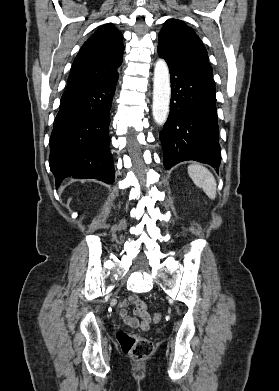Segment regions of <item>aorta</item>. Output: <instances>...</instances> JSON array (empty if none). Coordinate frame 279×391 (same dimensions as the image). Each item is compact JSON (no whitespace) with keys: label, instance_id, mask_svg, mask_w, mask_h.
<instances>
[{"label":"aorta","instance_id":"aorta-1","mask_svg":"<svg viewBox=\"0 0 279 391\" xmlns=\"http://www.w3.org/2000/svg\"><path fill=\"white\" fill-rule=\"evenodd\" d=\"M171 96L170 76L164 59H158L154 68L153 78V119L158 125H163L169 114Z\"/></svg>","mask_w":279,"mask_h":391}]
</instances>
